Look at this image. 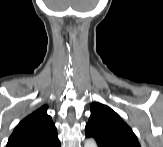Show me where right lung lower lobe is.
<instances>
[{
    "mask_svg": "<svg viewBox=\"0 0 163 147\" xmlns=\"http://www.w3.org/2000/svg\"><path fill=\"white\" fill-rule=\"evenodd\" d=\"M28 147H60V141L56 140L55 142H52L50 144H46V145H31Z\"/></svg>",
    "mask_w": 163,
    "mask_h": 147,
    "instance_id": "1",
    "label": "right lung lower lobe"
}]
</instances>
